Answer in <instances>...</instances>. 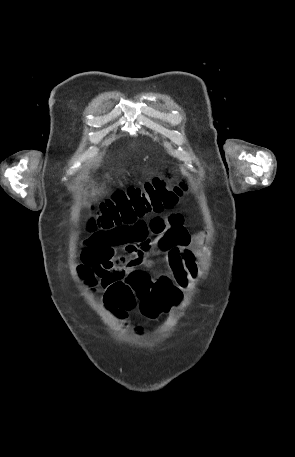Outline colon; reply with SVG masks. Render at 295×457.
Instances as JSON below:
<instances>
[{"mask_svg":"<svg viewBox=\"0 0 295 457\" xmlns=\"http://www.w3.org/2000/svg\"><path fill=\"white\" fill-rule=\"evenodd\" d=\"M183 188V183L170 185L165 178L154 177L141 186L118 190L92 209L87 226L95 230L132 225L149 213L173 208ZM137 251V248L129 247L127 256L118 260L110 255L93 266L82 263L78 267L80 276L89 285L97 278L103 281L107 287L105 303L119 318L126 317L137 300L143 314L149 318H155L174 303L176 290L170 279L154 282L152 276L143 271H133L126 276L125 267Z\"/></svg>","mask_w":295,"mask_h":457,"instance_id":"colon-1","label":"colon"}]
</instances>
